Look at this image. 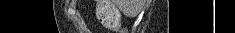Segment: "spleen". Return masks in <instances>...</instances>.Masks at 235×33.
I'll return each instance as SVG.
<instances>
[{
    "label": "spleen",
    "instance_id": "3e777b00",
    "mask_svg": "<svg viewBox=\"0 0 235 33\" xmlns=\"http://www.w3.org/2000/svg\"><path fill=\"white\" fill-rule=\"evenodd\" d=\"M127 13H128V14H130V13H131V11H128Z\"/></svg>",
    "mask_w": 235,
    "mask_h": 33
}]
</instances>
